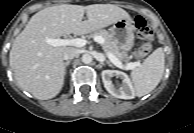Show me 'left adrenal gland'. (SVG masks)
<instances>
[{"mask_svg":"<svg viewBox=\"0 0 194 133\" xmlns=\"http://www.w3.org/2000/svg\"><path fill=\"white\" fill-rule=\"evenodd\" d=\"M107 64H108L109 66H112V64H110V62H108V61H107Z\"/></svg>","mask_w":194,"mask_h":133,"instance_id":"a2214340","label":"left adrenal gland"}]
</instances>
